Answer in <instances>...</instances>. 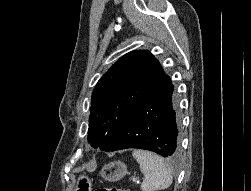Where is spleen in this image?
<instances>
[{
    "instance_id": "1",
    "label": "spleen",
    "mask_w": 251,
    "mask_h": 191,
    "mask_svg": "<svg viewBox=\"0 0 251 191\" xmlns=\"http://www.w3.org/2000/svg\"><path fill=\"white\" fill-rule=\"evenodd\" d=\"M133 157L137 159L144 179L140 185L142 191H157L167 189L173 181L172 169L165 159L153 151L133 149Z\"/></svg>"
}]
</instances>
